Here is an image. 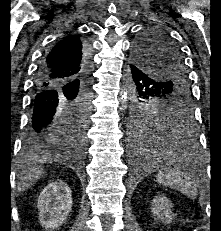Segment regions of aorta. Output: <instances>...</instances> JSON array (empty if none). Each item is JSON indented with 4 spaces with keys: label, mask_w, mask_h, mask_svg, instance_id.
Listing matches in <instances>:
<instances>
[{
    "label": "aorta",
    "mask_w": 221,
    "mask_h": 231,
    "mask_svg": "<svg viewBox=\"0 0 221 231\" xmlns=\"http://www.w3.org/2000/svg\"><path fill=\"white\" fill-rule=\"evenodd\" d=\"M121 99H122L123 101H126V100H127V92H126V91L123 92Z\"/></svg>",
    "instance_id": "762f6f07"
}]
</instances>
